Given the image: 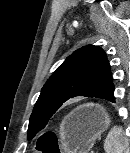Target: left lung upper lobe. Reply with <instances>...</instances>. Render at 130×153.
<instances>
[{
  "label": "left lung upper lobe",
  "mask_w": 130,
  "mask_h": 153,
  "mask_svg": "<svg viewBox=\"0 0 130 153\" xmlns=\"http://www.w3.org/2000/svg\"><path fill=\"white\" fill-rule=\"evenodd\" d=\"M112 74L105 52L87 45L70 55L50 76L30 116L28 140L41 131L67 100L77 97L101 98Z\"/></svg>",
  "instance_id": "1"
}]
</instances>
